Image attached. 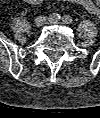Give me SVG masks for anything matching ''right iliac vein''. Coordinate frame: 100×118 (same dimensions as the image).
I'll use <instances>...</instances> for the list:
<instances>
[{
    "label": "right iliac vein",
    "mask_w": 100,
    "mask_h": 118,
    "mask_svg": "<svg viewBox=\"0 0 100 118\" xmlns=\"http://www.w3.org/2000/svg\"><path fill=\"white\" fill-rule=\"evenodd\" d=\"M48 21V19L44 16H39L35 19V24L37 26H42L43 24H45Z\"/></svg>",
    "instance_id": "1"
}]
</instances>
